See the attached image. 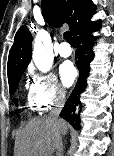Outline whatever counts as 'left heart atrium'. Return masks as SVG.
Masks as SVG:
<instances>
[{"label": "left heart atrium", "instance_id": "1", "mask_svg": "<svg viewBox=\"0 0 114 156\" xmlns=\"http://www.w3.org/2000/svg\"><path fill=\"white\" fill-rule=\"evenodd\" d=\"M60 75L65 86H70L76 78V69L70 62H65L60 67Z\"/></svg>", "mask_w": 114, "mask_h": 156}]
</instances>
